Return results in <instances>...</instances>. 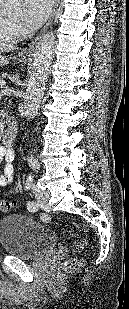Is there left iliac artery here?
<instances>
[{
	"instance_id": "obj_1",
	"label": "left iliac artery",
	"mask_w": 129,
	"mask_h": 309,
	"mask_svg": "<svg viewBox=\"0 0 129 309\" xmlns=\"http://www.w3.org/2000/svg\"><path fill=\"white\" fill-rule=\"evenodd\" d=\"M31 166H32V168H33L34 170H38L39 167H40L39 163H37V162H35V161L31 163ZM27 209H28L29 211H31V212H35V211L38 210L37 205H36L34 202H29V203L27 204ZM41 219H42L43 221H46V220L49 219V217H48V215L43 214V215L41 216Z\"/></svg>"
}]
</instances>
